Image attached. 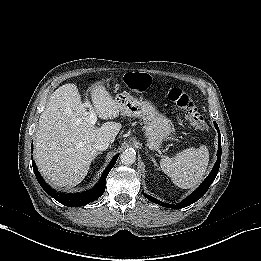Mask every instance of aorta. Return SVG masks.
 <instances>
[{"label":"aorta","instance_id":"1","mask_svg":"<svg viewBox=\"0 0 261 261\" xmlns=\"http://www.w3.org/2000/svg\"><path fill=\"white\" fill-rule=\"evenodd\" d=\"M120 161L124 165H132L136 161V152L132 149H126L121 153Z\"/></svg>","mask_w":261,"mask_h":261}]
</instances>
